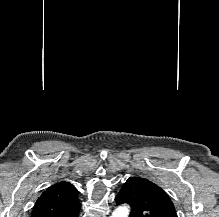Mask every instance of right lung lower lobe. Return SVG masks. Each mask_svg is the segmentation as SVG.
Returning <instances> with one entry per match:
<instances>
[{"label": "right lung lower lobe", "mask_w": 219, "mask_h": 217, "mask_svg": "<svg viewBox=\"0 0 219 217\" xmlns=\"http://www.w3.org/2000/svg\"><path fill=\"white\" fill-rule=\"evenodd\" d=\"M71 217H78V214H76V215H73V216H71Z\"/></svg>", "instance_id": "1"}]
</instances>
